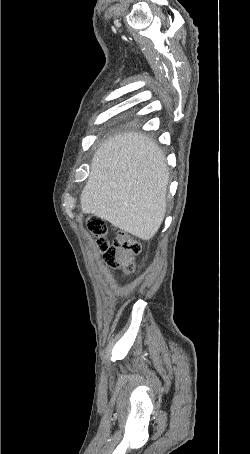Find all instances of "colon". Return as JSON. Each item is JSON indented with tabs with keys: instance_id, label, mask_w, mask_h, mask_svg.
Wrapping results in <instances>:
<instances>
[{
	"instance_id": "1",
	"label": "colon",
	"mask_w": 250,
	"mask_h": 454,
	"mask_svg": "<svg viewBox=\"0 0 250 454\" xmlns=\"http://www.w3.org/2000/svg\"><path fill=\"white\" fill-rule=\"evenodd\" d=\"M87 227L91 234L96 237L98 248L108 266L131 274L134 270L132 259L141 251L139 242L130 235L120 232L109 244L106 239L108 227L102 219L97 217L90 218Z\"/></svg>"
}]
</instances>
